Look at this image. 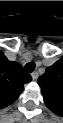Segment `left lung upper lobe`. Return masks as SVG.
Instances as JSON below:
<instances>
[{"mask_svg":"<svg viewBox=\"0 0 63 123\" xmlns=\"http://www.w3.org/2000/svg\"><path fill=\"white\" fill-rule=\"evenodd\" d=\"M42 88L44 101L53 112H59L63 103V69L58 62L47 68L45 74L38 79Z\"/></svg>","mask_w":63,"mask_h":123,"instance_id":"obj_1","label":"left lung upper lobe"}]
</instances>
